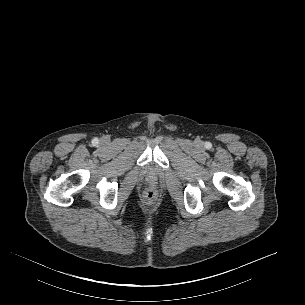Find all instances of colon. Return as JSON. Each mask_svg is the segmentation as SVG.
Here are the masks:
<instances>
[{
  "label": "colon",
  "instance_id": "1",
  "mask_svg": "<svg viewBox=\"0 0 305 305\" xmlns=\"http://www.w3.org/2000/svg\"><path fill=\"white\" fill-rule=\"evenodd\" d=\"M145 199L148 203H152L156 199V193L153 190H149L145 193Z\"/></svg>",
  "mask_w": 305,
  "mask_h": 305
}]
</instances>
